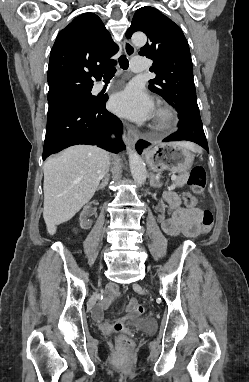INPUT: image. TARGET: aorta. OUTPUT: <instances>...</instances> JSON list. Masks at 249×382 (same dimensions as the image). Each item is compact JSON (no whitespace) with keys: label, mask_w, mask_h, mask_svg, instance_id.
I'll return each instance as SVG.
<instances>
[{"label":"aorta","mask_w":249,"mask_h":382,"mask_svg":"<svg viewBox=\"0 0 249 382\" xmlns=\"http://www.w3.org/2000/svg\"><path fill=\"white\" fill-rule=\"evenodd\" d=\"M132 42L133 44L137 46H143L147 42V37L143 33H135L132 36ZM122 138L124 143L126 144V148L128 151L129 166H130L132 177L136 183L143 184L146 181V177H147L146 166L143 160L138 155V153L130 147L129 141L125 134H123Z\"/></svg>","instance_id":"1"}]
</instances>
